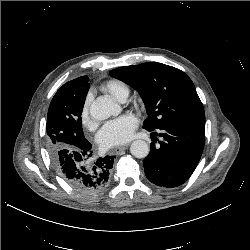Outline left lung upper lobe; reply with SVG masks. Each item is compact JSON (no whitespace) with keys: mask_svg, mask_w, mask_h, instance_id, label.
I'll return each mask as SVG.
<instances>
[{"mask_svg":"<svg viewBox=\"0 0 250 250\" xmlns=\"http://www.w3.org/2000/svg\"><path fill=\"white\" fill-rule=\"evenodd\" d=\"M110 75L138 90L147 109L143 128L160 130L169 126L205 124V113L191 79L181 70L149 62L124 66Z\"/></svg>","mask_w":250,"mask_h":250,"instance_id":"1","label":"left lung upper lobe"}]
</instances>
